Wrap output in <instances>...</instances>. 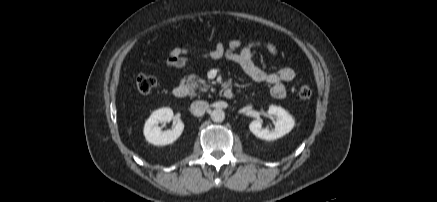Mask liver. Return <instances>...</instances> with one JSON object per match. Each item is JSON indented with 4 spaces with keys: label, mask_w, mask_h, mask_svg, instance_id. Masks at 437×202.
Listing matches in <instances>:
<instances>
[{
    "label": "liver",
    "mask_w": 437,
    "mask_h": 202,
    "mask_svg": "<svg viewBox=\"0 0 437 202\" xmlns=\"http://www.w3.org/2000/svg\"><path fill=\"white\" fill-rule=\"evenodd\" d=\"M128 133H129V134L131 133V129H128Z\"/></svg>",
    "instance_id": "1"
}]
</instances>
